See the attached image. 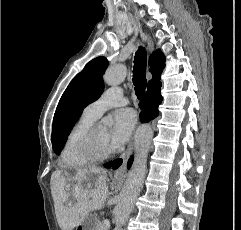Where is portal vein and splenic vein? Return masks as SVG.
<instances>
[{
	"instance_id": "1",
	"label": "portal vein and splenic vein",
	"mask_w": 241,
	"mask_h": 230,
	"mask_svg": "<svg viewBox=\"0 0 241 230\" xmlns=\"http://www.w3.org/2000/svg\"><path fill=\"white\" fill-rule=\"evenodd\" d=\"M104 225H105L106 227H109V226H110V222H109L108 220H105V221H104Z\"/></svg>"
}]
</instances>
